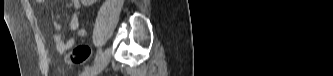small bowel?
Here are the masks:
<instances>
[{
	"label": "small bowel",
	"instance_id": "obj_1",
	"mask_svg": "<svg viewBox=\"0 0 333 76\" xmlns=\"http://www.w3.org/2000/svg\"><path fill=\"white\" fill-rule=\"evenodd\" d=\"M80 0H72V5L74 7V12L69 22V31L72 33V36L68 39H64L61 33V25L54 18V13L51 11L53 26H54V34L53 41L56 47V50L60 53H63L73 47L76 43L77 39L84 38L86 35V31L80 28L78 10L81 6Z\"/></svg>",
	"mask_w": 333,
	"mask_h": 76
}]
</instances>
